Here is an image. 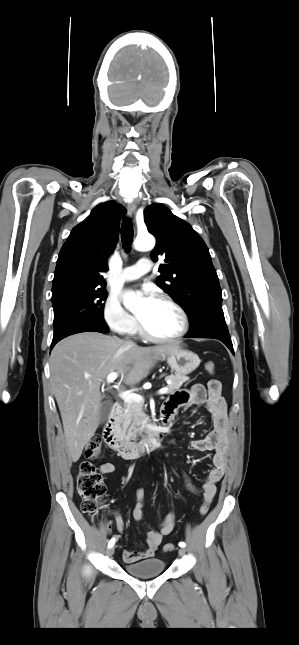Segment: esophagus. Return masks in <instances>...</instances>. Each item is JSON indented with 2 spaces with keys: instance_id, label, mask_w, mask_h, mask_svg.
Instances as JSON below:
<instances>
[{
  "instance_id": "1",
  "label": "esophagus",
  "mask_w": 299,
  "mask_h": 645,
  "mask_svg": "<svg viewBox=\"0 0 299 645\" xmlns=\"http://www.w3.org/2000/svg\"><path fill=\"white\" fill-rule=\"evenodd\" d=\"M127 213L130 219L134 222L135 221V215H136V204L134 202H131L127 206Z\"/></svg>"
}]
</instances>
